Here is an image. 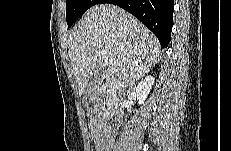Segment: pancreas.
<instances>
[{"instance_id": "obj_1", "label": "pancreas", "mask_w": 231, "mask_h": 151, "mask_svg": "<svg viewBox=\"0 0 231 151\" xmlns=\"http://www.w3.org/2000/svg\"><path fill=\"white\" fill-rule=\"evenodd\" d=\"M107 99L109 100V99H110V96H108Z\"/></svg>"}]
</instances>
